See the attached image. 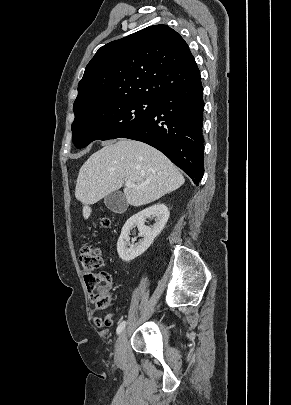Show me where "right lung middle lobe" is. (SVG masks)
Instances as JSON below:
<instances>
[{
  "label": "right lung middle lobe",
  "mask_w": 291,
  "mask_h": 405,
  "mask_svg": "<svg viewBox=\"0 0 291 405\" xmlns=\"http://www.w3.org/2000/svg\"><path fill=\"white\" fill-rule=\"evenodd\" d=\"M154 106V99L143 97H123L85 106L74 112L72 142L81 149L94 140L121 138L140 126Z\"/></svg>",
  "instance_id": "right-lung-middle-lobe-1"
}]
</instances>
